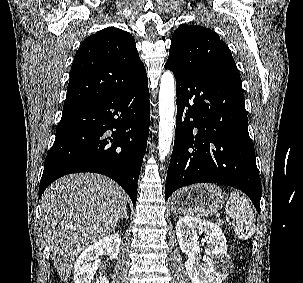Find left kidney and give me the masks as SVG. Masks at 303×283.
Returning a JSON list of instances; mask_svg holds the SVG:
<instances>
[{"mask_svg": "<svg viewBox=\"0 0 303 283\" xmlns=\"http://www.w3.org/2000/svg\"><path fill=\"white\" fill-rule=\"evenodd\" d=\"M197 233H204L208 243L204 263L200 262L198 256L200 248ZM176 235L182 252L188 256L185 268L192 283H221L228 276L231 261L226 238L216 224L186 216L178 220Z\"/></svg>", "mask_w": 303, "mask_h": 283, "instance_id": "1", "label": "left kidney"}]
</instances>
